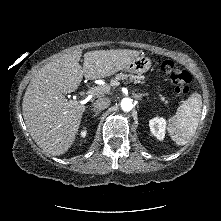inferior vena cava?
<instances>
[{"instance_id": "1", "label": "inferior vena cava", "mask_w": 221, "mask_h": 221, "mask_svg": "<svg viewBox=\"0 0 221 221\" xmlns=\"http://www.w3.org/2000/svg\"><path fill=\"white\" fill-rule=\"evenodd\" d=\"M109 105H110V100L108 98H100L94 102L93 109L101 111L106 109Z\"/></svg>"}]
</instances>
